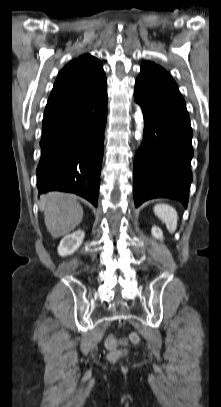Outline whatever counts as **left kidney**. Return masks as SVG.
Segmentation results:
<instances>
[{"instance_id":"1","label":"left kidney","mask_w":221,"mask_h":407,"mask_svg":"<svg viewBox=\"0 0 221 407\" xmlns=\"http://www.w3.org/2000/svg\"><path fill=\"white\" fill-rule=\"evenodd\" d=\"M152 235L155 237V238H157V239H160V240H162L163 239V232H162V230L159 228V227H157V226H154L153 228H152Z\"/></svg>"}]
</instances>
